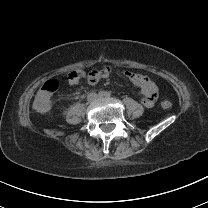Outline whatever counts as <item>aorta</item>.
I'll use <instances>...</instances> for the list:
<instances>
[{"instance_id": "aorta-1", "label": "aorta", "mask_w": 208, "mask_h": 208, "mask_svg": "<svg viewBox=\"0 0 208 208\" xmlns=\"http://www.w3.org/2000/svg\"><path fill=\"white\" fill-rule=\"evenodd\" d=\"M102 96H103L104 98H107V97L109 96V93H108L107 91H104V92L102 93Z\"/></svg>"}]
</instances>
